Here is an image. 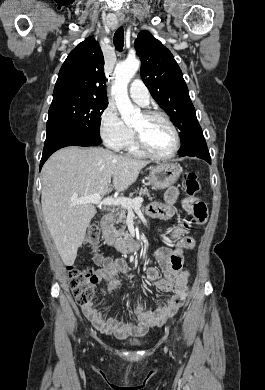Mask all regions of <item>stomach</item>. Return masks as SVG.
<instances>
[{
    "mask_svg": "<svg viewBox=\"0 0 265 390\" xmlns=\"http://www.w3.org/2000/svg\"><path fill=\"white\" fill-rule=\"evenodd\" d=\"M181 173L182 168L177 164L164 163L151 168L148 180L153 189H166L178 180Z\"/></svg>",
    "mask_w": 265,
    "mask_h": 390,
    "instance_id": "stomach-1",
    "label": "stomach"
}]
</instances>
